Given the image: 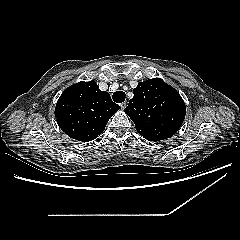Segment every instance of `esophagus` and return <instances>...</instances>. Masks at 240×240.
I'll return each mask as SVG.
<instances>
[{
    "label": "esophagus",
    "mask_w": 240,
    "mask_h": 240,
    "mask_svg": "<svg viewBox=\"0 0 240 240\" xmlns=\"http://www.w3.org/2000/svg\"><path fill=\"white\" fill-rule=\"evenodd\" d=\"M120 106H121V108L124 110V109L126 108V106H127V102H122V103L120 104Z\"/></svg>",
    "instance_id": "34e87169"
}]
</instances>
